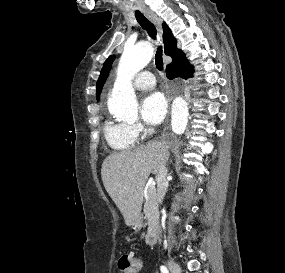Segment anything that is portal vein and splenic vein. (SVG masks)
Masks as SVG:
<instances>
[{"mask_svg":"<svg viewBox=\"0 0 285 273\" xmlns=\"http://www.w3.org/2000/svg\"><path fill=\"white\" fill-rule=\"evenodd\" d=\"M150 189H151V190L155 189V186H154V185H151V186H150Z\"/></svg>","mask_w":285,"mask_h":273,"instance_id":"1","label":"portal vein and splenic vein"}]
</instances>
